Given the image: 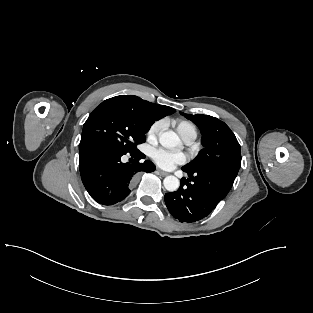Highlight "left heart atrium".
<instances>
[{
    "label": "left heart atrium",
    "instance_id": "left-heart-atrium-1",
    "mask_svg": "<svg viewBox=\"0 0 313 313\" xmlns=\"http://www.w3.org/2000/svg\"><path fill=\"white\" fill-rule=\"evenodd\" d=\"M151 157L159 167L167 170L174 168L176 165L183 164L187 160L185 153L164 148L154 149Z\"/></svg>",
    "mask_w": 313,
    "mask_h": 313
}]
</instances>
